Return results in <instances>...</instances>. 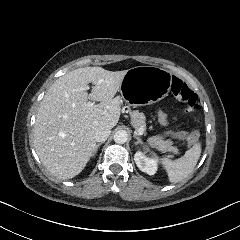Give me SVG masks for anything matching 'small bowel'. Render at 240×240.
Wrapping results in <instances>:
<instances>
[{
	"label": "small bowel",
	"instance_id": "c3829d8e",
	"mask_svg": "<svg viewBox=\"0 0 240 240\" xmlns=\"http://www.w3.org/2000/svg\"><path fill=\"white\" fill-rule=\"evenodd\" d=\"M191 132L185 131V130H180V131H168L165 133V136L177 139V140H184L187 139L188 135Z\"/></svg>",
	"mask_w": 240,
	"mask_h": 240
}]
</instances>
